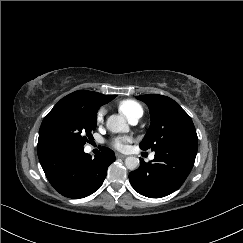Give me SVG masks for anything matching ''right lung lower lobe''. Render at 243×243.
Returning <instances> with one entry per match:
<instances>
[{
	"label": "right lung lower lobe",
	"mask_w": 243,
	"mask_h": 243,
	"mask_svg": "<svg viewBox=\"0 0 243 243\" xmlns=\"http://www.w3.org/2000/svg\"><path fill=\"white\" fill-rule=\"evenodd\" d=\"M40 164L50 184L63 196L78 199L100 188L115 154L108 148L91 155L84 147H54L38 152Z\"/></svg>",
	"instance_id": "1"
}]
</instances>
